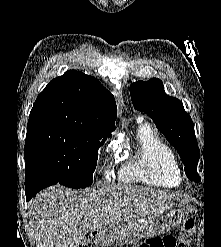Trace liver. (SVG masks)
<instances>
[{"label":"liver","instance_id":"6515ba94","mask_svg":"<svg viewBox=\"0 0 221 247\" xmlns=\"http://www.w3.org/2000/svg\"><path fill=\"white\" fill-rule=\"evenodd\" d=\"M176 197L170 192L121 184L77 195L57 185L37 195L27 207L43 247H78L89 231L100 233L131 223Z\"/></svg>","mask_w":221,"mask_h":247}]
</instances>
